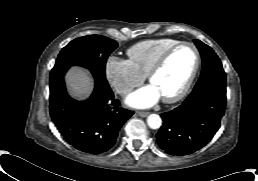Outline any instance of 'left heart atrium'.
Returning <instances> with one entry per match:
<instances>
[{
  "instance_id": "39dd6f15",
  "label": "left heart atrium",
  "mask_w": 258,
  "mask_h": 181,
  "mask_svg": "<svg viewBox=\"0 0 258 181\" xmlns=\"http://www.w3.org/2000/svg\"><path fill=\"white\" fill-rule=\"evenodd\" d=\"M159 98L160 94L151 84L132 93L127 98V104L134 108H148L154 105Z\"/></svg>"
}]
</instances>
